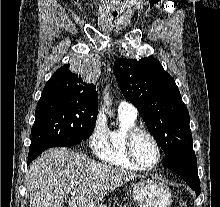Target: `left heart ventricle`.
I'll use <instances>...</instances> for the list:
<instances>
[{
  "mask_svg": "<svg viewBox=\"0 0 220 207\" xmlns=\"http://www.w3.org/2000/svg\"><path fill=\"white\" fill-rule=\"evenodd\" d=\"M134 150L138 160L143 165H152L157 161V150L151 139L145 134L136 137Z\"/></svg>",
  "mask_w": 220,
  "mask_h": 207,
  "instance_id": "left-heart-ventricle-1",
  "label": "left heart ventricle"
}]
</instances>
